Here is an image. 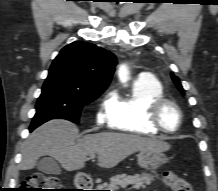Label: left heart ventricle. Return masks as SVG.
Segmentation results:
<instances>
[{"instance_id":"1","label":"left heart ventricle","mask_w":218,"mask_h":191,"mask_svg":"<svg viewBox=\"0 0 218 191\" xmlns=\"http://www.w3.org/2000/svg\"><path fill=\"white\" fill-rule=\"evenodd\" d=\"M160 122L167 130H174L179 124V115L172 105L163 107L160 113Z\"/></svg>"}]
</instances>
